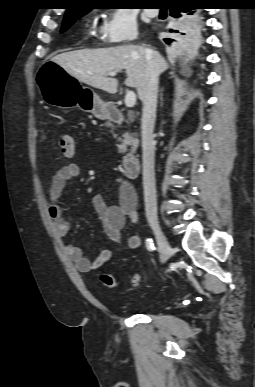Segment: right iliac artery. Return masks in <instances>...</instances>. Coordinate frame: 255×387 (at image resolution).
I'll use <instances>...</instances> for the list:
<instances>
[{
  "label": "right iliac artery",
  "mask_w": 255,
  "mask_h": 387,
  "mask_svg": "<svg viewBox=\"0 0 255 387\" xmlns=\"http://www.w3.org/2000/svg\"><path fill=\"white\" fill-rule=\"evenodd\" d=\"M146 248L149 251L155 250V246H154L153 240L151 238L146 239Z\"/></svg>",
  "instance_id": "82829eb1"
}]
</instances>
